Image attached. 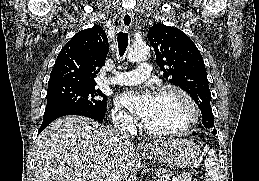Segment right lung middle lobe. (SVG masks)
Segmentation results:
<instances>
[{
	"instance_id": "1",
	"label": "right lung middle lobe",
	"mask_w": 259,
	"mask_h": 181,
	"mask_svg": "<svg viewBox=\"0 0 259 181\" xmlns=\"http://www.w3.org/2000/svg\"><path fill=\"white\" fill-rule=\"evenodd\" d=\"M96 84L62 83L48 86L44 116L68 107H82L95 111L106 109L107 97L95 89Z\"/></svg>"
}]
</instances>
